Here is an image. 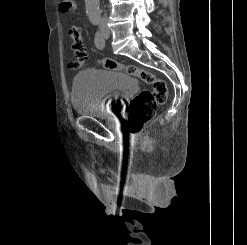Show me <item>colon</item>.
Wrapping results in <instances>:
<instances>
[{
    "label": "colon",
    "mask_w": 247,
    "mask_h": 245,
    "mask_svg": "<svg viewBox=\"0 0 247 245\" xmlns=\"http://www.w3.org/2000/svg\"><path fill=\"white\" fill-rule=\"evenodd\" d=\"M75 7L76 4L74 0H63L61 3V9L64 12L71 13L75 10ZM69 35L73 40L75 55L69 67L73 70L81 69L88 60L86 47L83 44L79 32L70 29ZM99 64L106 69L124 71L132 76L138 77L144 83L151 86V89H145L136 94L128 107L129 128L132 132H139L141 128L154 117L157 107L166 102V82L157 77L153 72L136 65H125L109 58L101 59Z\"/></svg>",
    "instance_id": "5ec220e1"
}]
</instances>
